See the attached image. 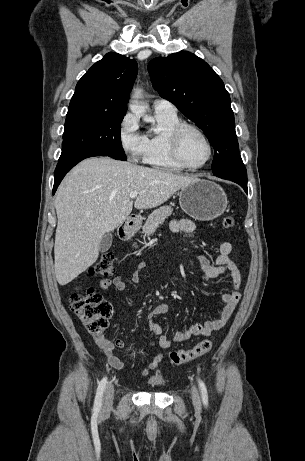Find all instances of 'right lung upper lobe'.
<instances>
[{
	"mask_svg": "<svg viewBox=\"0 0 305 461\" xmlns=\"http://www.w3.org/2000/svg\"><path fill=\"white\" fill-rule=\"evenodd\" d=\"M137 72L135 60L117 53L106 54L79 80L68 109L126 114Z\"/></svg>",
	"mask_w": 305,
	"mask_h": 461,
	"instance_id": "1",
	"label": "right lung upper lobe"
}]
</instances>
